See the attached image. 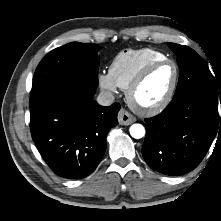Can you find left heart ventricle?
Returning <instances> with one entry per match:
<instances>
[{"label": "left heart ventricle", "mask_w": 221, "mask_h": 221, "mask_svg": "<svg viewBox=\"0 0 221 221\" xmlns=\"http://www.w3.org/2000/svg\"><path fill=\"white\" fill-rule=\"evenodd\" d=\"M173 77L172 65L164 64L156 67L136 91V101L142 106H152L158 103L167 93Z\"/></svg>", "instance_id": "obj_1"}]
</instances>
